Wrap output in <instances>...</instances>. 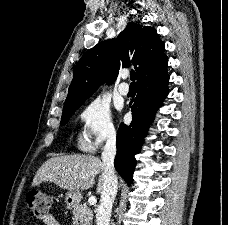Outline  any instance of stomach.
<instances>
[{"instance_id":"obj_1","label":"stomach","mask_w":228,"mask_h":225,"mask_svg":"<svg viewBox=\"0 0 228 225\" xmlns=\"http://www.w3.org/2000/svg\"><path fill=\"white\" fill-rule=\"evenodd\" d=\"M81 199L79 191H68L65 197L67 207H76Z\"/></svg>"}]
</instances>
